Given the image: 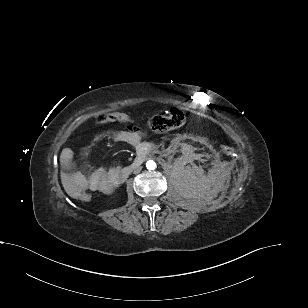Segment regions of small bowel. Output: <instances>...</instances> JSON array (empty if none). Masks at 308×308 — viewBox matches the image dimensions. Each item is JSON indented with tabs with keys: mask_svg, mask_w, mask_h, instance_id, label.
Listing matches in <instances>:
<instances>
[{
	"mask_svg": "<svg viewBox=\"0 0 308 308\" xmlns=\"http://www.w3.org/2000/svg\"><path fill=\"white\" fill-rule=\"evenodd\" d=\"M112 137L115 141L125 142L134 147L142 143V133L137 129L114 132ZM63 168L73 180L75 194L82 191H112L119 182V168H98L92 171H79L76 169L70 150L63 151L61 155Z\"/></svg>",
	"mask_w": 308,
	"mask_h": 308,
	"instance_id": "c3829d8e",
	"label": "small bowel"
}]
</instances>
